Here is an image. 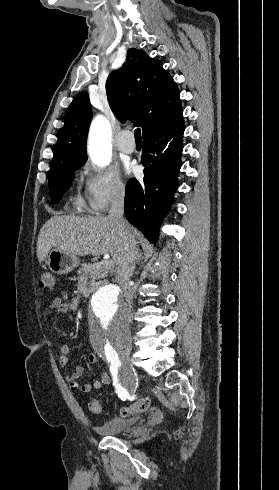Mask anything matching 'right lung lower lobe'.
I'll return each mask as SVG.
<instances>
[{
    "instance_id": "right-lung-lower-lobe-1",
    "label": "right lung lower lobe",
    "mask_w": 279,
    "mask_h": 490,
    "mask_svg": "<svg viewBox=\"0 0 279 490\" xmlns=\"http://www.w3.org/2000/svg\"><path fill=\"white\" fill-rule=\"evenodd\" d=\"M184 129L182 119L162 132L143 137L145 177L141 182L132 178L126 185L125 216L152 243L178 187Z\"/></svg>"
}]
</instances>
